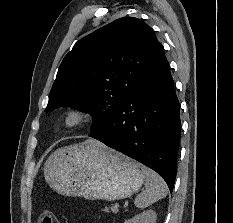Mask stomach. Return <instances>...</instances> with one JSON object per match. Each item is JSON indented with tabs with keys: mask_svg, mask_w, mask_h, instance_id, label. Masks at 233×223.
Instances as JSON below:
<instances>
[{
	"mask_svg": "<svg viewBox=\"0 0 233 223\" xmlns=\"http://www.w3.org/2000/svg\"><path fill=\"white\" fill-rule=\"evenodd\" d=\"M44 175L61 195L114 201L140 189L145 167L98 141H83L54 151L45 163Z\"/></svg>",
	"mask_w": 233,
	"mask_h": 223,
	"instance_id": "1",
	"label": "stomach"
}]
</instances>
